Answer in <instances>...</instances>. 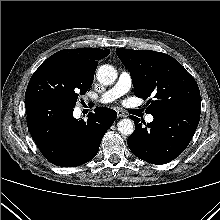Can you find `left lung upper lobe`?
I'll return each mask as SVG.
<instances>
[{"label":"left lung upper lobe","mask_w":220,"mask_h":220,"mask_svg":"<svg viewBox=\"0 0 220 220\" xmlns=\"http://www.w3.org/2000/svg\"><path fill=\"white\" fill-rule=\"evenodd\" d=\"M116 54L129 70L135 95L147 102V113L175 106L201 105L194 78L173 57L150 50L117 48Z\"/></svg>","instance_id":"obj_1"}]
</instances>
